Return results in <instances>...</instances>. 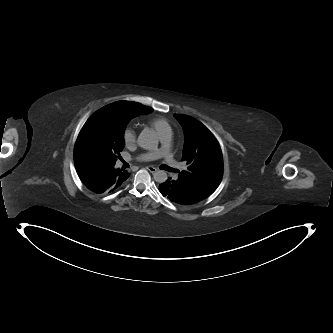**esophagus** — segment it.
<instances>
[{
    "label": "esophagus",
    "mask_w": 333,
    "mask_h": 333,
    "mask_svg": "<svg viewBox=\"0 0 333 333\" xmlns=\"http://www.w3.org/2000/svg\"><path fill=\"white\" fill-rule=\"evenodd\" d=\"M146 169L151 173H155L157 171V168H155L153 166H148V167H146Z\"/></svg>",
    "instance_id": "esophagus-1"
}]
</instances>
